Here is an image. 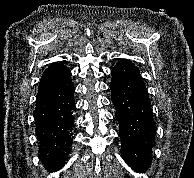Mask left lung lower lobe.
Here are the masks:
<instances>
[{"mask_svg":"<svg viewBox=\"0 0 194 178\" xmlns=\"http://www.w3.org/2000/svg\"><path fill=\"white\" fill-rule=\"evenodd\" d=\"M110 89L119 123L121 154L137 172L150 166L151 148L155 143L156 122L151 102L139 68L123 59L111 71Z\"/></svg>","mask_w":194,"mask_h":178,"instance_id":"1","label":"left lung lower lobe"}]
</instances>
